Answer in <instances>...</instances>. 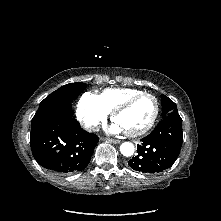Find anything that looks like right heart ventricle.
Masks as SVG:
<instances>
[{
	"instance_id": "1",
	"label": "right heart ventricle",
	"mask_w": 221,
	"mask_h": 221,
	"mask_svg": "<svg viewBox=\"0 0 221 221\" xmlns=\"http://www.w3.org/2000/svg\"><path fill=\"white\" fill-rule=\"evenodd\" d=\"M134 88H109L98 95L105 109L110 112L125 99L141 93Z\"/></svg>"
}]
</instances>
